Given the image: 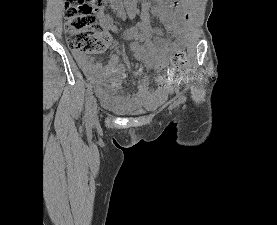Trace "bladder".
Returning <instances> with one entry per match:
<instances>
[{
  "label": "bladder",
  "mask_w": 277,
  "mask_h": 225,
  "mask_svg": "<svg viewBox=\"0 0 277 225\" xmlns=\"http://www.w3.org/2000/svg\"><path fill=\"white\" fill-rule=\"evenodd\" d=\"M148 108V105H140L138 103H119L109 107V109L122 115H138L146 112Z\"/></svg>",
  "instance_id": "bladder-1"
}]
</instances>
